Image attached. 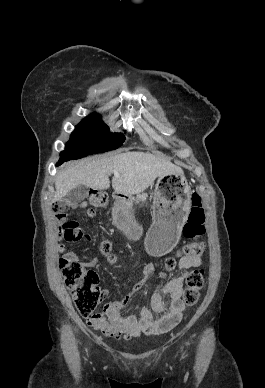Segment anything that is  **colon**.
<instances>
[{"label": "colon", "mask_w": 265, "mask_h": 388, "mask_svg": "<svg viewBox=\"0 0 265 388\" xmlns=\"http://www.w3.org/2000/svg\"><path fill=\"white\" fill-rule=\"evenodd\" d=\"M91 204L95 207H103L107 204L108 196L104 191L93 190L89 195ZM192 208L188 219L183 227V235L189 239H198L205 234V213L202 207V200L198 193L191 196ZM66 205L58 203L56 211L62 222L61 237L68 242H75L81 239L82 232L77 222L66 219ZM100 252L110 260L114 259L112 254V243L109 240H102L99 244ZM205 251L203 242H193L183 247L182 253L186 256L200 257ZM59 265L65 280L66 287L70 291L78 312L88 322H100L102 315L95 311L100 301L98 288V275L95 271L85 268L81 263L71 258H61ZM176 267V259L169 257L164 263V271L170 272ZM204 285V271L196 269L190 272L186 278V287L183 292V304L187 307L194 306L200 297V291Z\"/></svg>", "instance_id": "colon-1"}]
</instances>
